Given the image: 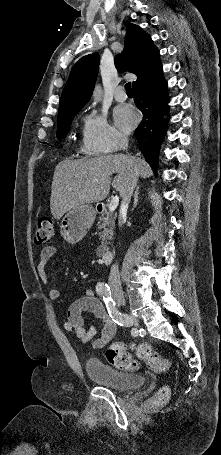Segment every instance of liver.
Here are the masks:
<instances>
[{
  "instance_id": "liver-1",
  "label": "liver",
  "mask_w": 221,
  "mask_h": 455,
  "mask_svg": "<svg viewBox=\"0 0 221 455\" xmlns=\"http://www.w3.org/2000/svg\"><path fill=\"white\" fill-rule=\"evenodd\" d=\"M135 168L142 178L153 174L143 159L129 154L61 161L53 175L50 197L52 215L60 219L76 206L104 200L111 185L122 195L128 176ZM112 174L116 176L111 182Z\"/></svg>"
}]
</instances>
